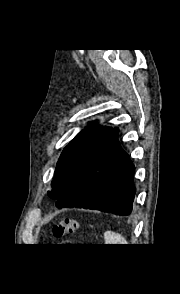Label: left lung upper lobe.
Instances as JSON below:
<instances>
[{"mask_svg":"<svg viewBox=\"0 0 180 294\" xmlns=\"http://www.w3.org/2000/svg\"><path fill=\"white\" fill-rule=\"evenodd\" d=\"M114 129L92 125L82 130L64 148L55 169L49 197L60 200L66 196L80 173L95 156Z\"/></svg>","mask_w":180,"mask_h":294,"instance_id":"5c2ea615","label":"left lung upper lobe"}]
</instances>
